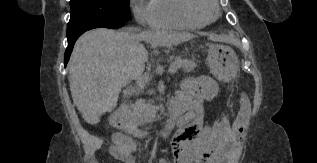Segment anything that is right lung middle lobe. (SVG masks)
Instances as JSON below:
<instances>
[{
    "instance_id": "obj_1",
    "label": "right lung middle lobe",
    "mask_w": 317,
    "mask_h": 163,
    "mask_svg": "<svg viewBox=\"0 0 317 163\" xmlns=\"http://www.w3.org/2000/svg\"><path fill=\"white\" fill-rule=\"evenodd\" d=\"M67 37L101 22L131 19L129 0H71Z\"/></svg>"
}]
</instances>
